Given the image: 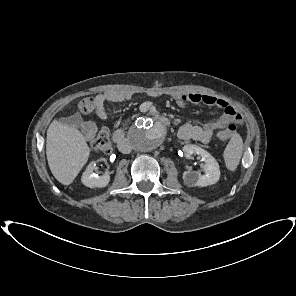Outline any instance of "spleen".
Wrapping results in <instances>:
<instances>
[{"mask_svg":"<svg viewBox=\"0 0 296 296\" xmlns=\"http://www.w3.org/2000/svg\"><path fill=\"white\" fill-rule=\"evenodd\" d=\"M243 153V140L238 133H234L227 144L223 157L226 167L230 171H235Z\"/></svg>","mask_w":296,"mask_h":296,"instance_id":"spleen-1","label":"spleen"}]
</instances>
